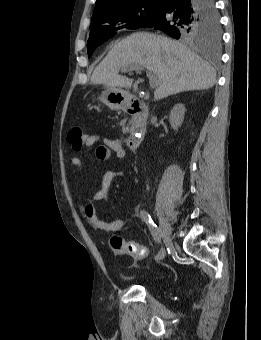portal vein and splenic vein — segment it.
Returning a JSON list of instances; mask_svg holds the SVG:
<instances>
[{"label": "portal vein and splenic vein", "instance_id": "portal-vein-and-splenic-vein-1", "mask_svg": "<svg viewBox=\"0 0 261 340\" xmlns=\"http://www.w3.org/2000/svg\"><path fill=\"white\" fill-rule=\"evenodd\" d=\"M142 70H144V67L139 66V65H134L128 68H124L121 71L128 72V71H142ZM146 73H147V77L149 78L150 88L155 89L156 87H158L159 81L156 79L155 75L150 71H147Z\"/></svg>", "mask_w": 261, "mask_h": 340}]
</instances>
